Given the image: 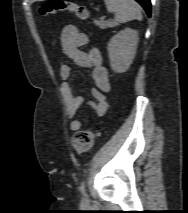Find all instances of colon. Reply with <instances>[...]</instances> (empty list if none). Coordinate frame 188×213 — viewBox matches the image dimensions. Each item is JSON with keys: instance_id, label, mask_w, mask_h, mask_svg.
Segmentation results:
<instances>
[{"instance_id": "1", "label": "colon", "mask_w": 188, "mask_h": 213, "mask_svg": "<svg viewBox=\"0 0 188 213\" xmlns=\"http://www.w3.org/2000/svg\"><path fill=\"white\" fill-rule=\"evenodd\" d=\"M69 11L75 13L78 17L86 19L89 12L86 7L74 3L72 0H46L39 9L41 15L56 14ZM98 132L91 130H79L72 137V147L79 153L89 151L94 143Z\"/></svg>"}]
</instances>
